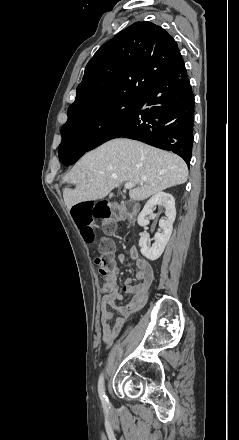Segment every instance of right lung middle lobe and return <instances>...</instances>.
<instances>
[{
    "instance_id": "1",
    "label": "right lung middle lobe",
    "mask_w": 239,
    "mask_h": 440,
    "mask_svg": "<svg viewBox=\"0 0 239 440\" xmlns=\"http://www.w3.org/2000/svg\"><path fill=\"white\" fill-rule=\"evenodd\" d=\"M137 99L124 96L112 98L91 110L68 118L61 129L59 152L67 147L87 148L98 135L123 120Z\"/></svg>"
}]
</instances>
